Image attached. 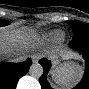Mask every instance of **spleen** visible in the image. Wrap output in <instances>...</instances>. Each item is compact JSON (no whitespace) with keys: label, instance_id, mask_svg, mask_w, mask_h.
Returning <instances> with one entry per match:
<instances>
[{"label":"spleen","instance_id":"spleen-1","mask_svg":"<svg viewBox=\"0 0 89 89\" xmlns=\"http://www.w3.org/2000/svg\"><path fill=\"white\" fill-rule=\"evenodd\" d=\"M51 75L58 87L72 88L82 79L83 69L77 62L67 61L57 65Z\"/></svg>","mask_w":89,"mask_h":89}]
</instances>
